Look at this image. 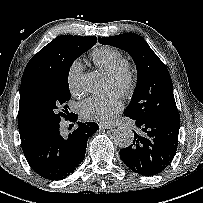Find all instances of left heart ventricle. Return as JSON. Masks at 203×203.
<instances>
[{
	"mask_svg": "<svg viewBox=\"0 0 203 203\" xmlns=\"http://www.w3.org/2000/svg\"><path fill=\"white\" fill-rule=\"evenodd\" d=\"M113 83L117 88L122 87L124 83V79L123 78L113 79Z\"/></svg>",
	"mask_w": 203,
	"mask_h": 203,
	"instance_id": "left-heart-ventricle-1",
	"label": "left heart ventricle"
}]
</instances>
